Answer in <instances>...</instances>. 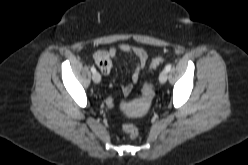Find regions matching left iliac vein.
I'll return each mask as SVG.
<instances>
[{
	"mask_svg": "<svg viewBox=\"0 0 248 165\" xmlns=\"http://www.w3.org/2000/svg\"><path fill=\"white\" fill-rule=\"evenodd\" d=\"M168 77V73L166 70H163L160 74H159V81L160 83L164 84L167 80Z\"/></svg>",
	"mask_w": 248,
	"mask_h": 165,
	"instance_id": "left-iliac-vein-1",
	"label": "left iliac vein"
}]
</instances>
